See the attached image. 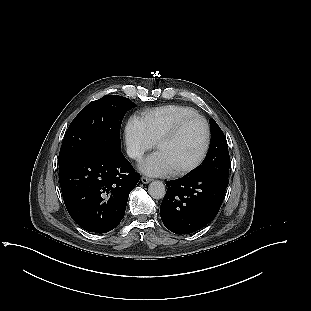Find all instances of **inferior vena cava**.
Wrapping results in <instances>:
<instances>
[{
    "label": "inferior vena cava",
    "instance_id": "inferior-vena-cava-1",
    "mask_svg": "<svg viewBox=\"0 0 311 311\" xmlns=\"http://www.w3.org/2000/svg\"><path fill=\"white\" fill-rule=\"evenodd\" d=\"M129 156L131 157V158H140L141 157V154L139 153V152H137V151H129Z\"/></svg>",
    "mask_w": 311,
    "mask_h": 311
}]
</instances>
